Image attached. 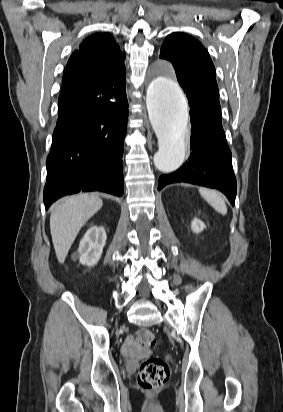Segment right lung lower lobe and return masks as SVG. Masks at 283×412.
Returning <instances> with one entry per match:
<instances>
[{
	"label": "right lung lower lobe",
	"mask_w": 283,
	"mask_h": 412,
	"mask_svg": "<svg viewBox=\"0 0 283 412\" xmlns=\"http://www.w3.org/2000/svg\"><path fill=\"white\" fill-rule=\"evenodd\" d=\"M126 84L108 83L59 108L47 157L46 210L79 191L123 194V150L127 130Z\"/></svg>",
	"instance_id": "obj_1"
}]
</instances>
